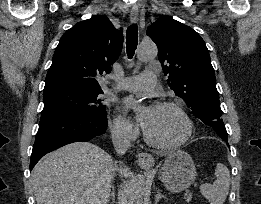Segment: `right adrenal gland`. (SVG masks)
<instances>
[{
	"label": "right adrenal gland",
	"instance_id": "1",
	"mask_svg": "<svg viewBox=\"0 0 261 204\" xmlns=\"http://www.w3.org/2000/svg\"><path fill=\"white\" fill-rule=\"evenodd\" d=\"M110 199H112L113 202L115 201V190H114V187H112V191H111V193L109 195L108 202L110 201Z\"/></svg>",
	"mask_w": 261,
	"mask_h": 204
}]
</instances>
